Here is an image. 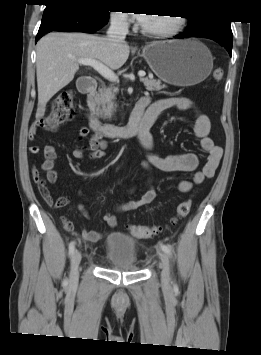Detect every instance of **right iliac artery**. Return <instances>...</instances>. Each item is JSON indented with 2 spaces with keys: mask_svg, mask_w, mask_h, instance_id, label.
Returning <instances> with one entry per match:
<instances>
[{
  "mask_svg": "<svg viewBox=\"0 0 261 355\" xmlns=\"http://www.w3.org/2000/svg\"><path fill=\"white\" fill-rule=\"evenodd\" d=\"M75 251V241H71L69 244V255L72 256ZM64 283L67 284V279L64 280Z\"/></svg>",
  "mask_w": 261,
  "mask_h": 355,
  "instance_id": "obj_1",
  "label": "right iliac artery"
}]
</instances>
